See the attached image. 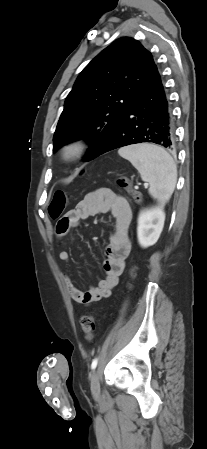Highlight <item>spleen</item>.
Instances as JSON below:
<instances>
[{
    "label": "spleen",
    "mask_w": 207,
    "mask_h": 449,
    "mask_svg": "<svg viewBox=\"0 0 207 449\" xmlns=\"http://www.w3.org/2000/svg\"><path fill=\"white\" fill-rule=\"evenodd\" d=\"M139 171L141 179L150 184L149 194L162 203L167 202L177 182V167L163 148L154 144H136L118 150Z\"/></svg>",
    "instance_id": "1"
}]
</instances>
